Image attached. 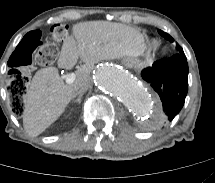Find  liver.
<instances>
[{
    "mask_svg": "<svg viewBox=\"0 0 215 183\" xmlns=\"http://www.w3.org/2000/svg\"><path fill=\"white\" fill-rule=\"evenodd\" d=\"M73 37L64 39L58 66L72 69L80 58L84 64L76 71V81L90 79L95 63L122 57L136 58L146 46L143 35L135 28L121 23L88 21L72 28ZM74 83L65 85L58 69L38 70L26 93L23 126L31 136H38L53 124L77 95Z\"/></svg>",
    "mask_w": 215,
    "mask_h": 183,
    "instance_id": "liver-1",
    "label": "liver"
}]
</instances>
